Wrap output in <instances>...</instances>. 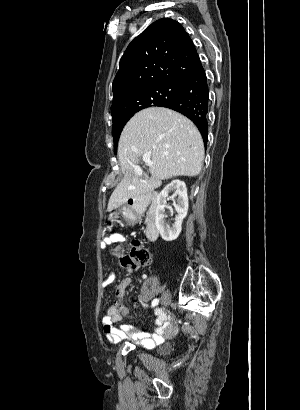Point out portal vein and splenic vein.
Masks as SVG:
<instances>
[{
	"label": "portal vein and splenic vein",
	"mask_w": 300,
	"mask_h": 410,
	"mask_svg": "<svg viewBox=\"0 0 300 410\" xmlns=\"http://www.w3.org/2000/svg\"><path fill=\"white\" fill-rule=\"evenodd\" d=\"M143 161H144L147 165H152V164H153V162H152V160H151V158H150V153H145V154L143 155Z\"/></svg>",
	"instance_id": "18ae733b"
}]
</instances>
